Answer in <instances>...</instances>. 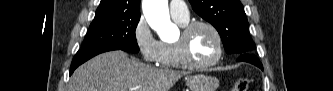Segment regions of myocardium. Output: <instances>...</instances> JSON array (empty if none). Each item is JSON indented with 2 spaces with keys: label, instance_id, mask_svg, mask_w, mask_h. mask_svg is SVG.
<instances>
[{
  "label": "myocardium",
  "instance_id": "myocardium-1",
  "mask_svg": "<svg viewBox=\"0 0 333 91\" xmlns=\"http://www.w3.org/2000/svg\"><path fill=\"white\" fill-rule=\"evenodd\" d=\"M198 27H205L209 29L213 33L217 41L216 56L213 59L203 63L195 62L190 54V39L194 30L197 29ZM176 45L178 49V57L181 64L184 67L190 69L202 70L212 67L222 59L224 53V42L220 31L217 29L215 25L204 20H195L188 22L186 25H184L182 28L181 35L179 39L176 41Z\"/></svg>",
  "mask_w": 333,
  "mask_h": 91
}]
</instances>
